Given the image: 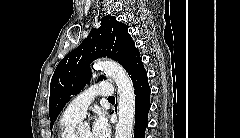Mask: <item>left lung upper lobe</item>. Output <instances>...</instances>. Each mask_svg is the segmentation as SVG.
<instances>
[{
  "mask_svg": "<svg viewBox=\"0 0 240 138\" xmlns=\"http://www.w3.org/2000/svg\"><path fill=\"white\" fill-rule=\"evenodd\" d=\"M137 54L139 51L128 33V26L118 22L114 16H104L100 28L92 29L80 46L59 62L52 76L49 97L50 128L71 96L80 92L90 80V63L93 60L109 57L127 70Z\"/></svg>",
  "mask_w": 240,
  "mask_h": 138,
  "instance_id": "5c2ea615",
  "label": "left lung upper lobe"
}]
</instances>
